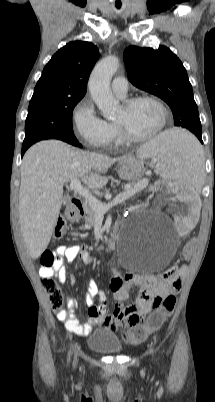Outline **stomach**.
I'll use <instances>...</instances> for the list:
<instances>
[{
    "instance_id": "0dacf381",
    "label": "stomach",
    "mask_w": 215,
    "mask_h": 402,
    "mask_svg": "<svg viewBox=\"0 0 215 402\" xmlns=\"http://www.w3.org/2000/svg\"><path fill=\"white\" fill-rule=\"evenodd\" d=\"M145 170L140 156L127 155L120 162L117 172L121 179L136 182L142 178Z\"/></svg>"
}]
</instances>
